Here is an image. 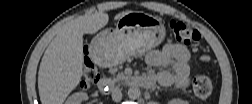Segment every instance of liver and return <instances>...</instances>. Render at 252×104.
Returning <instances> with one entry per match:
<instances>
[{
    "label": "liver",
    "instance_id": "1",
    "mask_svg": "<svg viewBox=\"0 0 252 104\" xmlns=\"http://www.w3.org/2000/svg\"><path fill=\"white\" fill-rule=\"evenodd\" d=\"M131 11L115 15L119 20ZM109 16L95 12L80 16L58 29L48 45L38 72L41 103L62 104L77 87L83 74V35L93 34L107 25Z\"/></svg>",
    "mask_w": 252,
    "mask_h": 104
}]
</instances>
